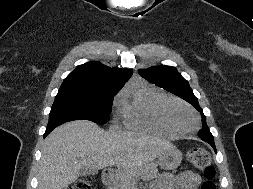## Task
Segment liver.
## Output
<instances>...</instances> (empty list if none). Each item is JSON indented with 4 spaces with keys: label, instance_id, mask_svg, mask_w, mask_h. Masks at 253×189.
I'll use <instances>...</instances> for the list:
<instances>
[{
    "label": "liver",
    "instance_id": "obj_1",
    "mask_svg": "<svg viewBox=\"0 0 253 189\" xmlns=\"http://www.w3.org/2000/svg\"><path fill=\"white\" fill-rule=\"evenodd\" d=\"M174 147L142 133L109 131L87 120L65 123L45 139L38 171V189H64L81 167L95 170L116 166L127 175L126 189L147 175L150 162Z\"/></svg>",
    "mask_w": 253,
    "mask_h": 189
}]
</instances>
